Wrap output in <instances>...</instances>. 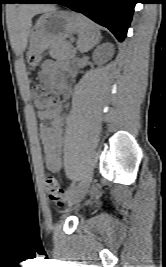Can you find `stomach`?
<instances>
[{"mask_svg":"<svg viewBox=\"0 0 166 267\" xmlns=\"http://www.w3.org/2000/svg\"><path fill=\"white\" fill-rule=\"evenodd\" d=\"M79 15L54 10L40 16L34 26L32 41L27 53V61L36 67L42 59V52L58 40H64L79 30Z\"/></svg>","mask_w":166,"mask_h":267,"instance_id":"0dacf381","label":"stomach"}]
</instances>
